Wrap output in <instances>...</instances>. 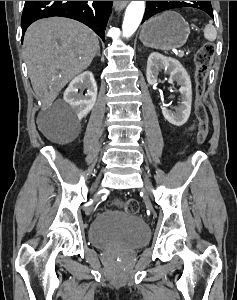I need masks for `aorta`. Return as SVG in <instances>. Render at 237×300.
<instances>
[{
    "label": "aorta",
    "mask_w": 237,
    "mask_h": 300,
    "mask_svg": "<svg viewBox=\"0 0 237 300\" xmlns=\"http://www.w3.org/2000/svg\"><path fill=\"white\" fill-rule=\"evenodd\" d=\"M145 1H132L126 9L123 19V37H131L137 31L144 15Z\"/></svg>",
    "instance_id": "762f6f07"
}]
</instances>
